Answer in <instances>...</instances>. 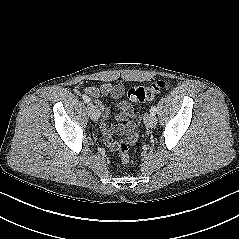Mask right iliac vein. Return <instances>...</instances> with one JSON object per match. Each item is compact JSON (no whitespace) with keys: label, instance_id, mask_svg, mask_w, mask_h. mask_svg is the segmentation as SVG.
Wrapping results in <instances>:
<instances>
[{"label":"right iliac vein","instance_id":"1","mask_svg":"<svg viewBox=\"0 0 239 239\" xmlns=\"http://www.w3.org/2000/svg\"><path fill=\"white\" fill-rule=\"evenodd\" d=\"M89 114L92 120L97 121L100 117V112L94 104L89 105Z\"/></svg>","mask_w":239,"mask_h":239}]
</instances>
